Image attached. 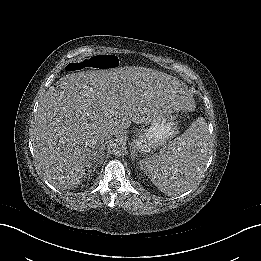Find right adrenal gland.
Instances as JSON below:
<instances>
[{
  "label": "right adrenal gland",
  "mask_w": 261,
  "mask_h": 261,
  "mask_svg": "<svg viewBox=\"0 0 261 261\" xmlns=\"http://www.w3.org/2000/svg\"><path fill=\"white\" fill-rule=\"evenodd\" d=\"M103 153H104V145H102V155H103Z\"/></svg>",
  "instance_id": "2a0ac1e0"
}]
</instances>
